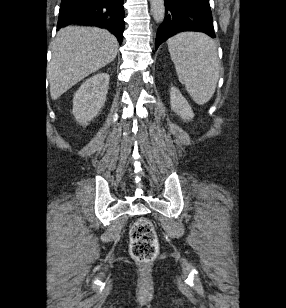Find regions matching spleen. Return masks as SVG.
Wrapping results in <instances>:
<instances>
[{
	"mask_svg": "<svg viewBox=\"0 0 286 308\" xmlns=\"http://www.w3.org/2000/svg\"><path fill=\"white\" fill-rule=\"evenodd\" d=\"M180 83L198 105L213 96L219 79L215 42L203 33L182 32L167 41Z\"/></svg>",
	"mask_w": 286,
	"mask_h": 308,
	"instance_id": "1",
	"label": "spleen"
}]
</instances>
